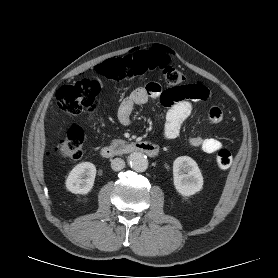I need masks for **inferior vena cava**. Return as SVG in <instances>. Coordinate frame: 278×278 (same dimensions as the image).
Returning <instances> with one entry per match:
<instances>
[{
	"instance_id": "obj_1",
	"label": "inferior vena cava",
	"mask_w": 278,
	"mask_h": 278,
	"mask_svg": "<svg viewBox=\"0 0 278 278\" xmlns=\"http://www.w3.org/2000/svg\"><path fill=\"white\" fill-rule=\"evenodd\" d=\"M125 167V162L121 158H115L111 161V168L114 171H120Z\"/></svg>"
}]
</instances>
